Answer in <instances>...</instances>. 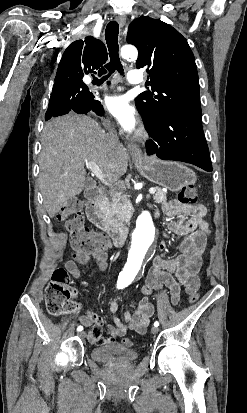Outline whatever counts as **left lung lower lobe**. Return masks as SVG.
<instances>
[{
	"mask_svg": "<svg viewBox=\"0 0 247 413\" xmlns=\"http://www.w3.org/2000/svg\"><path fill=\"white\" fill-rule=\"evenodd\" d=\"M146 129L153 138L146 143L149 155L191 163L208 172L213 170L200 118L170 113L154 125H146Z\"/></svg>",
	"mask_w": 247,
	"mask_h": 413,
	"instance_id": "obj_1",
	"label": "left lung lower lobe"
}]
</instances>
